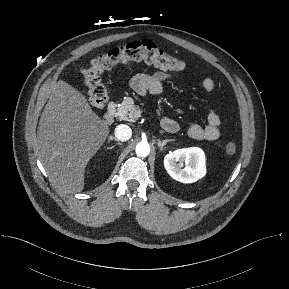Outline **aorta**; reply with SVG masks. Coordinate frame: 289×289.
Returning a JSON list of instances; mask_svg holds the SVG:
<instances>
[{
	"instance_id": "obj_1",
	"label": "aorta",
	"mask_w": 289,
	"mask_h": 289,
	"mask_svg": "<svg viewBox=\"0 0 289 289\" xmlns=\"http://www.w3.org/2000/svg\"><path fill=\"white\" fill-rule=\"evenodd\" d=\"M150 153V146L147 142H139L136 145V154L140 157H146Z\"/></svg>"
}]
</instances>
